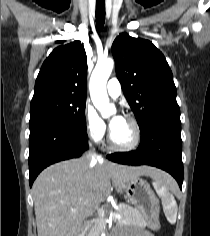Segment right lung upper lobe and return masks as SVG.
<instances>
[{"instance_id":"right-lung-upper-lobe-1","label":"right lung upper lobe","mask_w":210,"mask_h":236,"mask_svg":"<svg viewBox=\"0 0 210 236\" xmlns=\"http://www.w3.org/2000/svg\"><path fill=\"white\" fill-rule=\"evenodd\" d=\"M86 73V53L79 41L57 47L40 69L32 101L54 95L86 98Z\"/></svg>"}]
</instances>
